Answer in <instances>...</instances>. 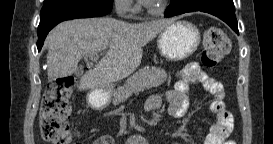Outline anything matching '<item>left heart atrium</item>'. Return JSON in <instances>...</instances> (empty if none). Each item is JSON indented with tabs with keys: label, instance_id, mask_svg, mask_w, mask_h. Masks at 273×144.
<instances>
[{
	"label": "left heart atrium",
	"instance_id": "1",
	"mask_svg": "<svg viewBox=\"0 0 273 144\" xmlns=\"http://www.w3.org/2000/svg\"><path fill=\"white\" fill-rule=\"evenodd\" d=\"M144 5H148V6H151L153 3H154V0H141Z\"/></svg>",
	"mask_w": 273,
	"mask_h": 144
}]
</instances>
